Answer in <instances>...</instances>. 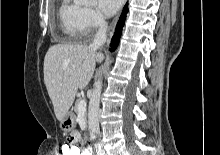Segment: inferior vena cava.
Here are the masks:
<instances>
[{
  "label": "inferior vena cava",
  "mask_w": 220,
  "mask_h": 155,
  "mask_svg": "<svg viewBox=\"0 0 220 155\" xmlns=\"http://www.w3.org/2000/svg\"><path fill=\"white\" fill-rule=\"evenodd\" d=\"M106 32H107V22L102 18L99 23V28L98 31L96 32L94 41L91 44L90 48L92 49L101 48L107 40Z\"/></svg>",
  "instance_id": "1"
}]
</instances>
